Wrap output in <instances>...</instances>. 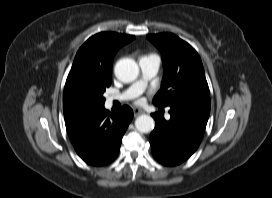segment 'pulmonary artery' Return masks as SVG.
I'll list each match as a JSON object with an SVG mask.
<instances>
[{
  "mask_svg": "<svg viewBox=\"0 0 272 198\" xmlns=\"http://www.w3.org/2000/svg\"><path fill=\"white\" fill-rule=\"evenodd\" d=\"M138 64L142 74L141 79L136 81L125 91L109 96L107 98L109 103L114 101L130 100L142 93L146 87L147 81L157 74L160 66V60L156 55H146L139 59Z\"/></svg>",
  "mask_w": 272,
  "mask_h": 198,
  "instance_id": "pulmonary-artery-1",
  "label": "pulmonary artery"
}]
</instances>
